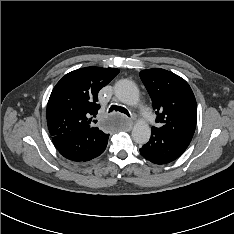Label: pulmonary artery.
<instances>
[{
	"label": "pulmonary artery",
	"mask_w": 234,
	"mask_h": 234,
	"mask_svg": "<svg viewBox=\"0 0 234 234\" xmlns=\"http://www.w3.org/2000/svg\"><path fill=\"white\" fill-rule=\"evenodd\" d=\"M138 108L144 117V121L147 124H153L155 122V117L148 111V109L144 103H140L138 105Z\"/></svg>",
	"instance_id": "e3ab8cb5"
}]
</instances>
